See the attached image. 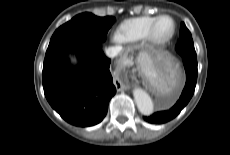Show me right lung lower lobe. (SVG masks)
<instances>
[{
    "label": "right lung lower lobe",
    "instance_id": "98d812e1",
    "mask_svg": "<svg viewBox=\"0 0 230 155\" xmlns=\"http://www.w3.org/2000/svg\"><path fill=\"white\" fill-rule=\"evenodd\" d=\"M69 52L79 56L77 69L67 60ZM110 62L100 41L67 43L47 50L42 76L49 104L72 125L87 127L100 123L116 93Z\"/></svg>",
    "mask_w": 230,
    "mask_h": 155
}]
</instances>
